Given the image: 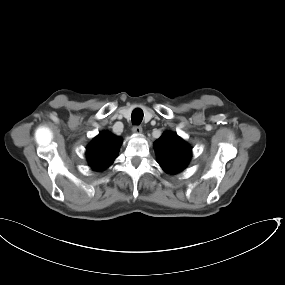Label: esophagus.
<instances>
[{
	"mask_svg": "<svg viewBox=\"0 0 285 285\" xmlns=\"http://www.w3.org/2000/svg\"><path fill=\"white\" fill-rule=\"evenodd\" d=\"M132 133L136 136L142 133V127L140 125H136L132 128Z\"/></svg>",
	"mask_w": 285,
	"mask_h": 285,
	"instance_id": "esophagus-1",
	"label": "esophagus"
}]
</instances>
